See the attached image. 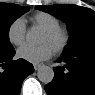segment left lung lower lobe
<instances>
[{
  "label": "left lung lower lobe",
  "instance_id": "0a47b994",
  "mask_svg": "<svg viewBox=\"0 0 95 95\" xmlns=\"http://www.w3.org/2000/svg\"><path fill=\"white\" fill-rule=\"evenodd\" d=\"M54 79L45 86L48 95H95V49L62 54Z\"/></svg>",
  "mask_w": 95,
  "mask_h": 95
}]
</instances>
